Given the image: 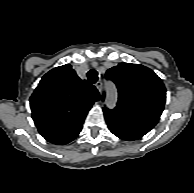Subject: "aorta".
I'll return each instance as SVG.
<instances>
[{
	"label": "aorta",
	"mask_w": 194,
	"mask_h": 193,
	"mask_svg": "<svg viewBox=\"0 0 194 193\" xmlns=\"http://www.w3.org/2000/svg\"><path fill=\"white\" fill-rule=\"evenodd\" d=\"M106 89H107L106 104L110 108H113L116 104L117 99L116 89L112 83H109Z\"/></svg>",
	"instance_id": "aorta-1"
}]
</instances>
